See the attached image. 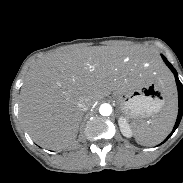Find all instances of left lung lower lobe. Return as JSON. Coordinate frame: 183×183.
<instances>
[{
	"label": "left lung lower lobe",
	"instance_id": "0a47b994",
	"mask_svg": "<svg viewBox=\"0 0 183 183\" xmlns=\"http://www.w3.org/2000/svg\"><path fill=\"white\" fill-rule=\"evenodd\" d=\"M162 58L175 76L177 89H178V102H179V111H178L176 123L173 127L171 134H169L168 137L164 140V142H165L173 134V132L177 129V127L181 121L182 115H183V86H182V83L178 79V74H177L175 68L171 65V63L168 62V60L164 56H162Z\"/></svg>",
	"mask_w": 183,
	"mask_h": 183
}]
</instances>
